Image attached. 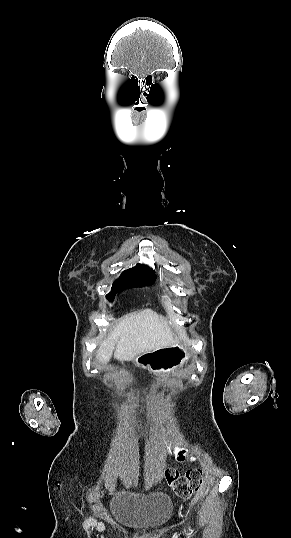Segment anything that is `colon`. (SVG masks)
I'll return each instance as SVG.
<instances>
[{"label":"colon","mask_w":291,"mask_h":538,"mask_svg":"<svg viewBox=\"0 0 291 538\" xmlns=\"http://www.w3.org/2000/svg\"><path fill=\"white\" fill-rule=\"evenodd\" d=\"M182 458V453H179ZM166 480L173 491L182 498L192 495L202 483V473L199 470H189L185 475H180L174 470H168L165 474Z\"/></svg>","instance_id":"obj_1"}]
</instances>
